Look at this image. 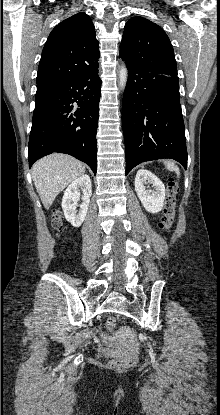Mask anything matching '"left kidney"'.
I'll list each match as a JSON object with an SVG mask.
<instances>
[{
  "label": "left kidney",
  "instance_id": "obj_1",
  "mask_svg": "<svg viewBox=\"0 0 220 415\" xmlns=\"http://www.w3.org/2000/svg\"><path fill=\"white\" fill-rule=\"evenodd\" d=\"M152 184L153 190H147L145 185ZM135 191L144 208L150 213L162 210L165 200V186L162 181L148 170L140 169L135 177Z\"/></svg>",
  "mask_w": 220,
  "mask_h": 415
}]
</instances>
